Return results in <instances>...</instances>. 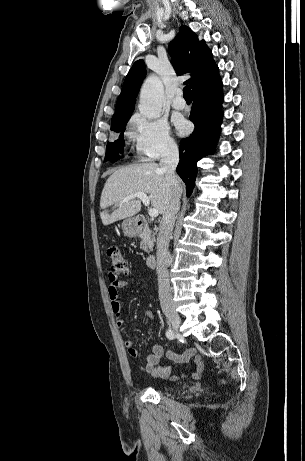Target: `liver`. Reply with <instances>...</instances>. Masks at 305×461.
I'll use <instances>...</instances> for the list:
<instances>
[{"instance_id": "1", "label": "liver", "mask_w": 305, "mask_h": 461, "mask_svg": "<svg viewBox=\"0 0 305 461\" xmlns=\"http://www.w3.org/2000/svg\"><path fill=\"white\" fill-rule=\"evenodd\" d=\"M173 189L182 193L181 180L178 177ZM136 192L148 195L153 208L164 214L170 203L172 187L167 183L159 165L154 162L131 164L116 170L107 179L101 194L100 207L103 211L100 217L103 225L133 217L140 212L141 202L138 198L123 201L126 196ZM114 205L118 208L109 214L107 208Z\"/></svg>"}]
</instances>
